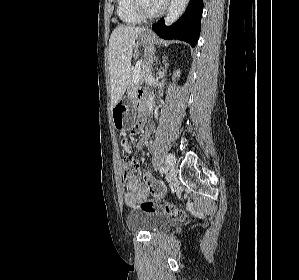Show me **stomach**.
Wrapping results in <instances>:
<instances>
[{"label": "stomach", "mask_w": 299, "mask_h": 280, "mask_svg": "<svg viewBox=\"0 0 299 280\" xmlns=\"http://www.w3.org/2000/svg\"><path fill=\"white\" fill-rule=\"evenodd\" d=\"M138 42L144 47H152L156 43L155 36L150 31H144L138 37ZM113 123L116 129H126L132 125V100L129 97H123L113 107Z\"/></svg>", "instance_id": "0dacf381"}]
</instances>
